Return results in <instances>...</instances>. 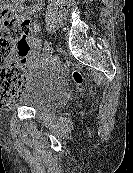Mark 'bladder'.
I'll list each match as a JSON object with an SVG mask.
<instances>
[{"label": "bladder", "instance_id": "31cf9c89", "mask_svg": "<svg viewBox=\"0 0 133 173\" xmlns=\"http://www.w3.org/2000/svg\"><path fill=\"white\" fill-rule=\"evenodd\" d=\"M68 95V85L59 73L51 69H41L28 76L18 105L32 108L39 113L53 114L64 106Z\"/></svg>", "mask_w": 133, "mask_h": 173}]
</instances>
